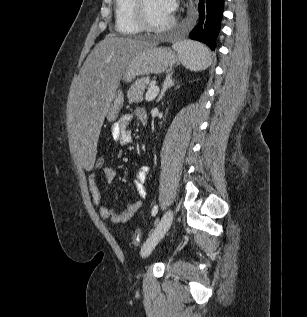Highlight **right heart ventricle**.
Listing matches in <instances>:
<instances>
[{
	"label": "right heart ventricle",
	"instance_id": "e07e8e85",
	"mask_svg": "<svg viewBox=\"0 0 307 317\" xmlns=\"http://www.w3.org/2000/svg\"><path fill=\"white\" fill-rule=\"evenodd\" d=\"M114 14L118 33L131 35L141 31L134 18L133 0H114Z\"/></svg>",
	"mask_w": 307,
	"mask_h": 317
}]
</instances>
